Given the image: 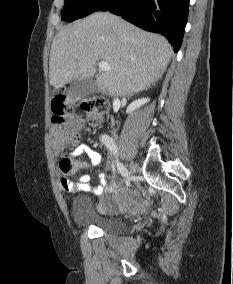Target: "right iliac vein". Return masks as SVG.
<instances>
[{"instance_id":"right-iliac-vein-1","label":"right iliac vein","mask_w":233,"mask_h":284,"mask_svg":"<svg viewBox=\"0 0 233 284\" xmlns=\"http://www.w3.org/2000/svg\"><path fill=\"white\" fill-rule=\"evenodd\" d=\"M129 167H130V173H129V176H130V177L127 178V181L129 182L130 185H133V184H134V181H135V178H134V177L136 176V173L133 172L134 169H135L134 163H133V162H130Z\"/></svg>"}]
</instances>
